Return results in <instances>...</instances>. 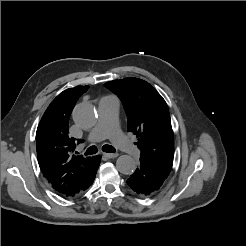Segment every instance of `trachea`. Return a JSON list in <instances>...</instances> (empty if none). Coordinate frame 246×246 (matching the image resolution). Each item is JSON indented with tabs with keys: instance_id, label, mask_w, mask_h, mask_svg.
Listing matches in <instances>:
<instances>
[{
	"instance_id": "3493384b",
	"label": "trachea",
	"mask_w": 246,
	"mask_h": 246,
	"mask_svg": "<svg viewBox=\"0 0 246 246\" xmlns=\"http://www.w3.org/2000/svg\"><path fill=\"white\" fill-rule=\"evenodd\" d=\"M102 151L107 152V153H114L116 152L115 148L111 145H104L102 147ZM98 152V149L96 146H91L89 147L86 152L85 155H92V154H96Z\"/></svg>"
}]
</instances>
